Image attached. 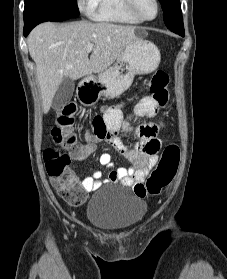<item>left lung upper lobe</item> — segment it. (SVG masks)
Wrapping results in <instances>:
<instances>
[{
  "label": "left lung upper lobe",
  "mask_w": 227,
  "mask_h": 279,
  "mask_svg": "<svg viewBox=\"0 0 227 279\" xmlns=\"http://www.w3.org/2000/svg\"><path fill=\"white\" fill-rule=\"evenodd\" d=\"M163 9V18L171 31H184L180 0H159Z\"/></svg>",
  "instance_id": "left-lung-upper-lobe-1"
}]
</instances>
